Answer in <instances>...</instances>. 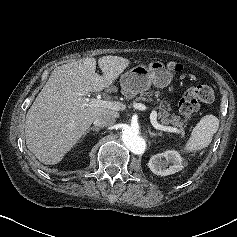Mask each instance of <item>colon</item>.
Here are the masks:
<instances>
[{"mask_svg":"<svg viewBox=\"0 0 237 237\" xmlns=\"http://www.w3.org/2000/svg\"><path fill=\"white\" fill-rule=\"evenodd\" d=\"M168 67L175 73H181L184 70L182 64L170 62ZM215 98L214 91L207 85H199L189 88L182 96L179 102L180 113L187 119L191 120L193 115L199 110V102L211 103Z\"/></svg>","mask_w":237,"mask_h":237,"instance_id":"1","label":"colon"}]
</instances>
